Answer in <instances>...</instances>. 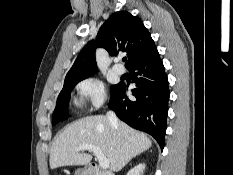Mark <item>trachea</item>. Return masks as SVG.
I'll use <instances>...</instances> for the list:
<instances>
[{
    "mask_svg": "<svg viewBox=\"0 0 233 175\" xmlns=\"http://www.w3.org/2000/svg\"><path fill=\"white\" fill-rule=\"evenodd\" d=\"M126 60H127V58L125 57V58H123V62H126Z\"/></svg>",
    "mask_w": 233,
    "mask_h": 175,
    "instance_id": "trachea-1",
    "label": "trachea"
}]
</instances>
